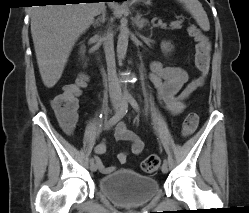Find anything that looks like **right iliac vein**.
<instances>
[{
    "mask_svg": "<svg viewBox=\"0 0 249 213\" xmlns=\"http://www.w3.org/2000/svg\"><path fill=\"white\" fill-rule=\"evenodd\" d=\"M114 109L117 110L118 107L115 105V106H114ZM97 168H98V167H97V164H95V163H91V164H90V170H91L92 172H95V171L97 170Z\"/></svg>",
    "mask_w": 249,
    "mask_h": 213,
    "instance_id": "1",
    "label": "right iliac vein"
}]
</instances>
